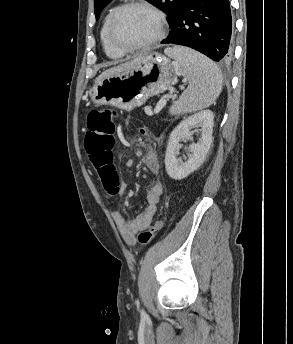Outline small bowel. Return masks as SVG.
<instances>
[{
	"label": "small bowel",
	"mask_w": 293,
	"mask_h": 344,
	"mask_svg": "<svg viewBox=\"0 0 293 344\" xmlns=\"http://www.w3.org/2000/svg\"><path fill=\"white\" fill-rule=\"evenodd\" d=\"M137 155L141 156L142 162L146 169L154 175H158L160 168L157 157L153 149L149 146L144 151H137ZM99 176L107 178L109 182L119 183V193L125 194L128 185L125 181H119L114 165L107 166L98 170ZM163 192V186L159 180H155L146 193V208L134 218H126L121 212L113 213L114 221L119 232L127 245H134L136 242L135 235L137 232L147 228L157 210L160 196Z\"/></svg>",
	"instance_id": "c3829d8e"
}]
</instances>
